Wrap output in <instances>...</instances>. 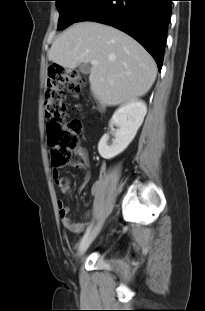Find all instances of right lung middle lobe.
Masks as SVG:
<instances>
[{"label": "right lung middle lobe", "mask_w": 205, "mask_h": 311, "mask_svg": "<svg viewBox=\"0 0 205 311\" xmlns=\"http://www.w3.org/2000/svg\"><path fill=\"white\" fill-rule=\"evenodd\" d=\"M60 13L58 30L75 23L96 0H55Z\"/></svg>", "instance_id": "1"}]
</instances>
